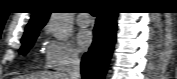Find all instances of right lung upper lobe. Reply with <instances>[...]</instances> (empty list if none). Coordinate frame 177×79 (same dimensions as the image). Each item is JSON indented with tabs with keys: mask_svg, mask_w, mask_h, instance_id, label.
I'll use <instances>...</instances> for the list:
<instances>
[{
	"mask_svg": "<svg viewBox=\"0 0 177 79\" xmlns=\"http://www.w3.org/2000/svg\"><path fill=\"white\" fill-rule=\"evenodd\" d=\"M50 12L43 8H39L33 12L30 22L28 23L22 40L28 37L31 33L39 31L47 22Z\"/></svg>",
	"mask_w": 177,
	"mask_h": 79,
	"instance_id": "right-lung-upper-lobe-1",
	"label": "right lung upper lobe"
}]
</instances>
